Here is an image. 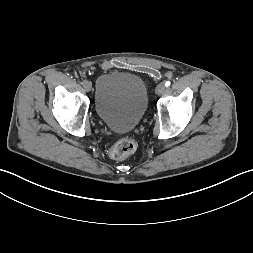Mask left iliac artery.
Returning a JSON list of instances; mask_svg holds the SVG:
<instances>
[{"label":"left iliac artery","mask_w":253,"mask_h":253,"mask_svg":"<svg viewBox=\"0 0 253 253\" xmlns=\"http://www.w3.org/2000/svg\"><path fill=\"white\" fill-rule=\"evenodd\" d=\"M170 84H171L170 81H167V82L165 83V86L168 87V86H170Z\"/></svg>","instance_id":"44dca946"}]
</instances>
